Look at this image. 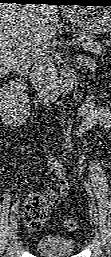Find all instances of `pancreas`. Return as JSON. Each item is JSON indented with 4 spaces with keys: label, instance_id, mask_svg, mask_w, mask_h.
Segmentation results:
<instances>
[{
    "label": "pancreas",
    "instance_id": "obj_1",
    "mask_svg": "<svg viewBox=\"0 0 111 257\" xmlns=\"http://www.w3.org/2000/svg\"><path fill=\"white\" fill-rule=\"evenodd\" d=\"M80 44L84 50L96 55H103L106 52V46H111V40H97L92 35H81Z\"/></svg>",
    "mask_w": 111,
    "mask_h": 257
}]
</instances>
